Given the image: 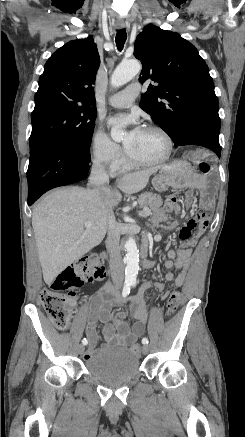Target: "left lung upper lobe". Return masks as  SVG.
<instances>
[{"mask_svg":"<svg viewBox=\"0 0 245 437\" xmlns=\"http://www.w3.org/2000/svg\"><path fill=\"white\" fill-rule=\"evenodd\" d=\"M134 56L142 62L141 83L152 80L140 107L175 146L189 128L209 125L220 131L218 98L208 66L178 33L149 24L137 36Z\"/></svg>","mask_w":245,"mask_h":437,"instance_id":"5c2ea615","label":"left lung upper lobe"}]
</instances>
